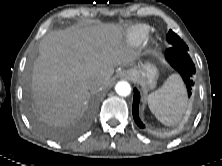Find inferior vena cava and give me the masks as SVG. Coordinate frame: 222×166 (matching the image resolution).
Returning a JSON list of instances; mask_svg holds the SVG:
<instances>
[{
	"label": "inferior vena cava",
	"mask_w": 222,
	"mask_h": 166,
	"mask_svg": "<svg viewBox=\"0 0 222 166\" xmlns=\"http://www.w3.org/2000/svg\"><path fill=\"white\" fill-rule=\"evenodd\" d=\"M95 87L98 88L99 90L103 89L104 83L102 81H96L94 83Z\"/></svg>",
	"instance_id": "obj_1"
}]
</instances>
